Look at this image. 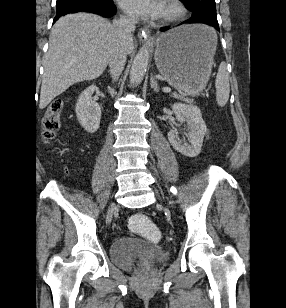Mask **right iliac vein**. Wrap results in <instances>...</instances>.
<instances>
[{
	"label": "right iliac vein",
	"mask_w": 286,
	"mask_h": 308,
	"mask_svg": "<svg viewBox=\"0 0 286 308\" xmlns=\"http://www.w3.org/2000/svg\"><path fill=\"white\" fill-rule=\"evenodd\" d=\"M115 209H116V206L113 204V205H111L110 209L108 210L107 217H106L107 224H109L111 222L112 214L115 211Z\"/></svg>",
	"instance_id": "obj_1"
}]
</instances>
